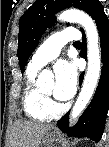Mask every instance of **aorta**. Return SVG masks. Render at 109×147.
<instances>
[{
  "label": "aorta",
  "instance_id": "obj_1",
  "mask_svg": "<svg viewBox=\"0 0 109 147\" xmlns=\"http://www.w3.org/2000/svg\"><path fill=\"white\" fill-rule=\"evenodd\" d=\"M59 21H68L80 24L86 32L87 37V59L88 67L83 81L81 91L71 111L70 120L78 118L86 106L89 104L97 87L101 74V51L99 44V34L94 20L84 11L78 9H68L58 16ZM51 76L43 71L38 80L44 81Z\"/></svg>",
  "mask_w": 109,
  "mask_h": 147
}]
</instances>
